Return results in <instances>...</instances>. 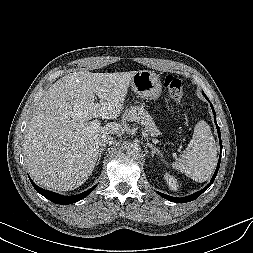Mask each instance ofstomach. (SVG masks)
I'll use <instances>...</instances> for the list:
<instances>
[{"label":"stomach","mask_w":253,"mask_h":253,"mask_svg":"<svg viewBox=\"0 0 253 253\" xmlns=\"http://www.w3.org/2000/svg\"><path fill=\"white\" fill-rule=\"evenodd\" d=\"M130 86L141 98L157 100L162 92V84L158 75L152 71H136Z\"/></svg>","instance_id":"1"}]
</instances>
